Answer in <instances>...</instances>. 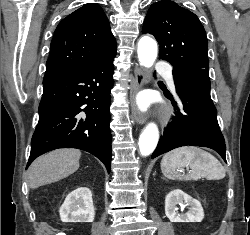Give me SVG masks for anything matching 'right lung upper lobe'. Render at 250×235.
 <instances>
[{
    "label": "right lung upper lobe",
    "instance_id": "1",
    "mask_svg": "<svg viewBox=\"0 0 250 235\" xmlns=\"http://www.w3.org/2000/svg\"><path fill=\"white\" fill-rule=\"evenodd\" d=\"M111 53L116 41L104 11L86 4L58 24L44 78L79 71Z\"/></svg>",
    "mask_w": 250,
    "mask_h": 235
}]
</instances>
